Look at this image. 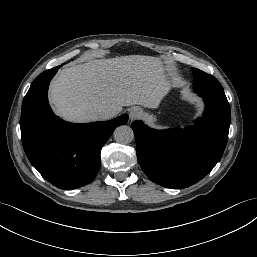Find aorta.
I'll return each mask as SVG.
<instances>
[{"label": "aorta", "mask_w": 257, "mask_h": 257, "mask_svg": "<svg viewBox=\"0 0 257 257\" xmlns=\"http://www.w3.org/2000/svg\"><path fill=\"white\" fill-rule=\"evenodd\" d=\"M114 139L121 144H128L133 141L134 133L127 125L119 126L114 131Z\"/></svg>", "instance_id": "aorta-1"}]
</instances>
